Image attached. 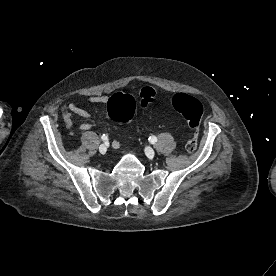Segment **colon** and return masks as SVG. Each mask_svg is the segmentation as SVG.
I'll return each mask as SVG.
<instances>
[{
  "label": "colon",
  "mask_w": 276,
  "mask_h": 276,
  "mask_svg": "<svg viewBox=\"0 0 276 276\" xmlns=\"http://www.w3.org/2000/svg\"><path fill=\"white\" fill-rule=\"evenodd\" d=\"M155 99V90L152 87H144L139 94L140 105L145 107ZM136 100L131 94L117 93L110 97L107 103L109 116L122 123L132 120L136 111ZM172 107L176 112L181 114L188 123L192 136L186 143V151L193 153L197 149L196 132L198 130L204 108L202 103L185 93H177L172 98Z\"/></svg>",
  "instance_id": "5ec220e1"
}]
</instances>
